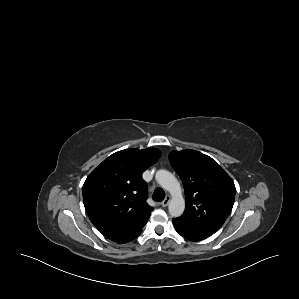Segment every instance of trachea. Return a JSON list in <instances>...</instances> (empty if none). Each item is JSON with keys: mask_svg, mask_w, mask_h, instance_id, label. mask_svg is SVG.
<instances>
[{"mask_svg": "<svg viewBox=\"0 0 299 299\" xmlns=\"http://www.w3.org/2000/svg\"><path fill=\"white\" fill-rule=\"evenodd\" d=\"M164 198H165V192L162 189L158 188V189H156L154 191V193H153V199L155 201L161 202V201L164 200Z\"/></svg>", "mask_w": 299, "mask_h": 299, "instance_id": "trachea-1", "label": "trachea"}]
</instances>
